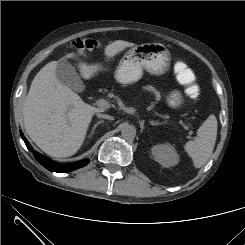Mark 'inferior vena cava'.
I'll return each instance as SVG.
<instances>
[{
    "mask_svg": "<svg viewBox=\"0 0 245 245\" xmlns=\"http://www.w3.org/2000/svg\"><path fill=\"white\" fill-rule=\"evenodd\" d=\"M96 116L98 118H103V119H109V120H113V117L107 114H102V113H97Z\"/></svg>",
    "mask_w": 245,
    "mask_h": 245,
    "instance_id": "obj_1",
    "label": "inferior vena cava"
}]
</instances>
